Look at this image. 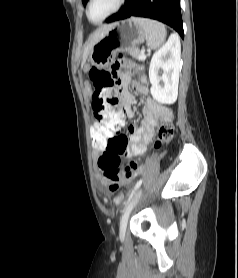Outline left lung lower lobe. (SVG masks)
<instances>
[{
  "label": "left lung lower lobe",
  "mask_w": 238,
  "mask_h": 278,
  "mask_svg": "<svg viewBox=\"0 0 238 278\" xmlns=\"http://www.w3.org/2000/svg\"><path fill=\"white\" fill-rule=\"evenodd\" d=\"M131 16L161 21L184 37L179 0H126L123 9L106 19L111 23Z\"/></svg>",
  "instance_id": "obj_1"
}]
</instances>
